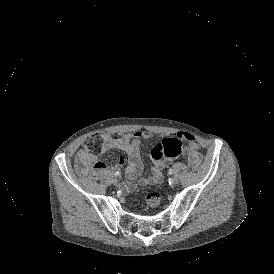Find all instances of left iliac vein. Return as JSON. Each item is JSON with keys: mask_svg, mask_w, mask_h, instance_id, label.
I'll return each instance as SVG.
<instances>
[{"mask_svg": "<svg viewBox=\"0 0 274 274\" xmlns=\"http://www.w3.org/2000/svg\"><path fill=\"white\" fill-rule=\"evenodd\" d=\"M171 181L174 185H176V184H178L179 179H178V177L174 176V177H172Z\"/></svg>", "mask_w": 274, "mask_h": 274, "instance_id": "4c4485c4", "label": "left iliac vein"}]
</instances>
